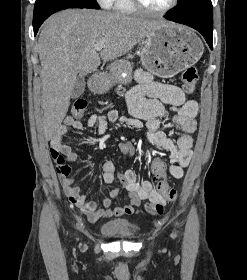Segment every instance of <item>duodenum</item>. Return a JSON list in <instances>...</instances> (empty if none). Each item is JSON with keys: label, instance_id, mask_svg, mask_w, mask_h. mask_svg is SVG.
Masks as SVG:
<instances>
[{"label": "duodenum", "instance_id": "obj_1", "mask_svg": "<svg viewBox=\"0 0 247 280\" xmlns=\"http://www.w3.org/2000/svg\"><path fill=\"white\" fill-rule=\"evenodd\" d=\"M101 79H102V73L97 71L91 83V86L94 90H98L100 88Z\"/></svg>", "mask_w": 247, "mask_h": 280}]
</instances>
